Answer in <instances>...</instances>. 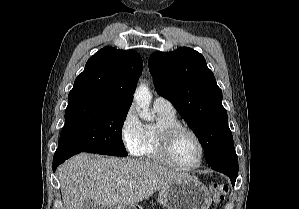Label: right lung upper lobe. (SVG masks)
Returning <instances> with one entry per match:
<instances>
[{"label": "right lung upper lobe", "mask_w": 299, "mask_h": 209, "mask_svg": "<svg viewBox=\"0 0 299 209\" xmlns=\"http://www.w3.org/2000/svg\"><path fill=\"white\" fill-rule=\"evenodd\" d=\"M141 56L134 50L105 47L89 58L73 89L68 106L100 105L130 108L138 77Z\"/></svg>", "instance_id": "cb5924a9"}]
</instances>
